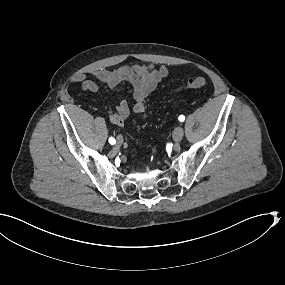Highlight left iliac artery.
<instances>
[{"instance_id": "left-iliac-artery-1", "label": "left iliac artery", "mask_w": 285, "mask_h": 285, "mask_svg": "<svg viewBox=\"0 0 285 285\" xmlns=\"http://www.w3.org/2000/svg\"><path fill=\"white\" fill-rule=\"evenodd\" d=\"M178 119H179L180 122H183V121L185 120V116L180 115V116L178 117Z\"/></svg>"}]
</instances>
